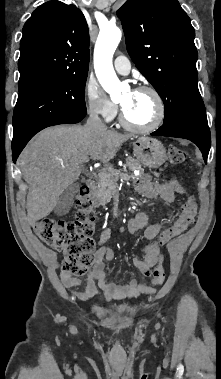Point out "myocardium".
I'll list each match as a JSON object with an SVG mask.
<instances>
[{"mask_svg": "<svg viewBox=\"0 0 221 379\" xmlns=\"http://www.w3.org/2000/svg\"><path fill=\"white\" fill-rule=\"evenodd\" d=\"M136 92L149 93L154 98L155 103H156V115H155L154 120L150 124L145 125V126H140V125L133 124V123H131L127 119V117H126V115L124 113L123 108H121V111H120V123L125 128H127L128 130H131V131H134V132H138V133L153 132L156 129H158L161 126V124L163 123V121H164V118H165V103H164V100H163L161 94L159 93V91L156 88H154L152 86H149V85H142V86L138 87L136 89Z\"/></svg>", "mask_w": 221, "mask_h": 379, "instance_id": "1", "label": "myocardium"}]
</instances>
